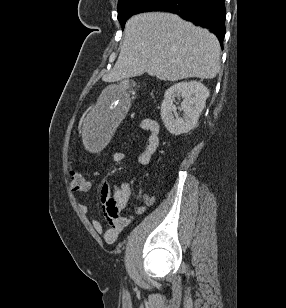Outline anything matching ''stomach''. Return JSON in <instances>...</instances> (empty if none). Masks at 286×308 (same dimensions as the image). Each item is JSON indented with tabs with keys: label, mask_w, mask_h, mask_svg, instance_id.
Wrapping results in <instances>:
<instances>
[{
	"label": "stomach",
	"mask_w": 286,
	"mask_h": 308,
	"mask_svg": "<svg viewBox=\"0 0 286 308\" xmlns=\"http://www.w3.org/2000/svg\"><path fill=\"white\" fill-rule=\"evenodd\" d=\"M128 81H122L120 85H108L107 89H101L94 109H87L85 122H81L83 129V149H91L89 154L94 156V149H102V142H109L112 130L117 124H121L122 110H127Z\"/></svg>",
	"instance_id": "1"
}]
</instances>
